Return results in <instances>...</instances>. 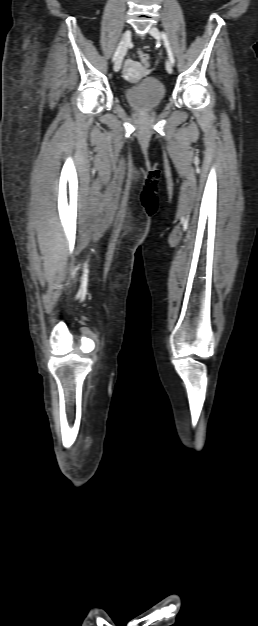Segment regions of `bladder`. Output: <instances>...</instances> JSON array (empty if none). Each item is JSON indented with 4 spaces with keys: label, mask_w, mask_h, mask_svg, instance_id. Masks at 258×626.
<instances>
[{
    "label": "bladder",
    "mask_w": 258,
    "mask_h": 626,
    "mask_svg": "<svg viewBox=\"0 0 258 626\" xmlns=\"http://www.w3.org/2000/svg\"><path fill=\"white\" fill-rule=\"evenodd\" d=\"M127 103L134 109L145 111L158 106L165 97V87L154 77H146L124 92Z\"/></svg>",
    "instance_id": "bladder-1"
}]
</instances>
